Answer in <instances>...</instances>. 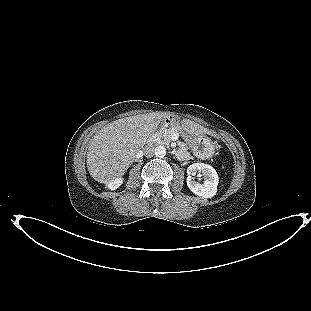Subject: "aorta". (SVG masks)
<instances>
[{"mask_svg": "<svg viewBox=\"0 0 311 311\" xmlns=\"http://www.w3.org/2000/svg\"><path fill=\"white\" fill-rule=\"evenodd\" d=\"M154 153L157 157H164L166 155V148L163 145L156 146L154 149Z\"/></svg>", "mask_w": 311, "mask_h": 311, "instance_id": "obj_1", "label": "aorta"}]
</instances>
